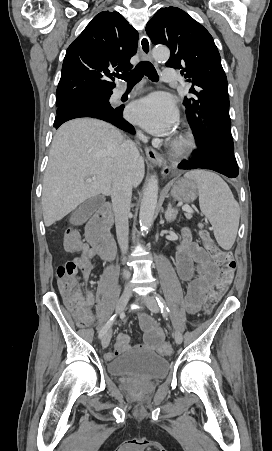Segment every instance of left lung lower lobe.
I'll list each match as a JSON object with an SVG mask.
<instances>
[{
    "mask_svg": "<svg viewBox=\"0 0 272 451\" xmlns=\"http://www.w3.org/2000/svg\"><path fill=\"white\" fill-rule=\"evenodd\" d=\"M197 157L190 161H184L178 165L180 169H210L219 172L229 178L237 177L238 165L234 153L219 146L201 147L194 150Z\"/></svg>",
    "mask_w": 272,
    "mask_h": 451,
    "instance_id": "obj_1",
    "label": "left lung lower lobe"
}]
</instances>
